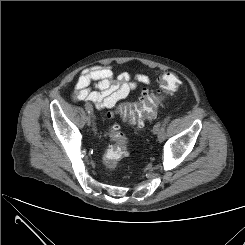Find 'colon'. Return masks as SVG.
I'll return each instance as SVG.
<instances>
[{"label":"colon","mask_w":245,"mask_h":245,"mask_svg":"<svg viewBox=\"0 0 245 245\" xmlns=\"http://www.w3.org/2000/svg\"><path fill=\"white\" fill-rule=\"evenodd\" d=\"M158 85L159 89L157 91L146 88L142 91L138 100L125 105L121 109L122 115L128 124L141 129L144 127L146 120L154 119L160 100L164 95L177 90L179 79L174 73L167 72L158 79ZM111 135L114 144L102 156L103 162L108 166L115 165L120 159L128 155L127 140L123 133L119 131L117 124L112 125Z\"/></svg>","instance_id":"5ec220e1"}]
</instances>
